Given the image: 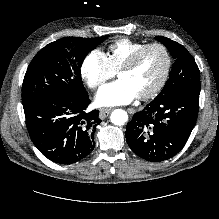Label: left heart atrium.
Masks as SVG:
<instances>
[{
  "label": "left heart atrium",
  "mask_w": 219,
  "mask_h": 219,
  "mask_svg": "<svg viewBox=\"0 0 219 219\" xmlns=\"http://www.w3.org/2000/svg\"><path fill=\"white\" fill-rule=\"evenodd\" d=\"M136 91L124 79H118L103 86L96 95V103L100 106H116L130 103L137 98Z\"/></svg>",
  "instance_id": "39dd6f15"
}]
</instances>
